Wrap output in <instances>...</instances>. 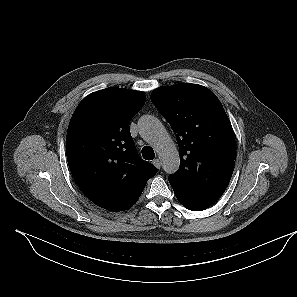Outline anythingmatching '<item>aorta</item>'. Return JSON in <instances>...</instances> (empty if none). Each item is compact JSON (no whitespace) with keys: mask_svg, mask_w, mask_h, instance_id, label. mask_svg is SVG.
<instances>
[{"mask_svg":"<svg viewBox=\"0 0 297 297\" xmlns=\"http://www.w3.org/2000/svg\"><path fill=\"white\" fill-rule=\"evenodd\" d=\"M139 133L157 152L163 170L172 174L180 165L177 147L162 123L154 116L145 115L138 122Z\"/></svg>","mask_w":297,"mask_h":297,"instance_id":"obj_1","label":"aorta"}]
</instances>
